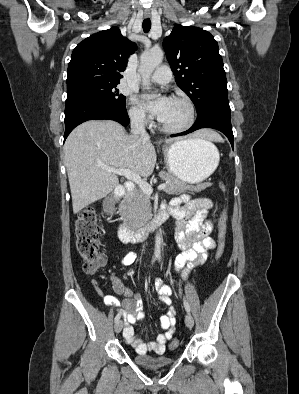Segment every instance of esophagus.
I'll use <instances>...</instances> for the list:
<instances>
[{
    "mask_svg": "<svg viewBox=\"0 0 299 394\" xmlns=\"http://www.w3.org/2000/svg\"><path fill=\"white\" fill-rule=\"evenodd\" d=\"M145 18H149L150 17V12H145Z\"/></svg>",
    "mask_w": 299,
    "mask_h": 394,
    "instance_id": "1",
    "label": "esophagus"
}]
</instances>
